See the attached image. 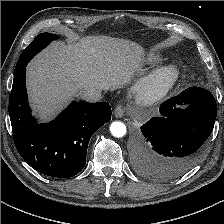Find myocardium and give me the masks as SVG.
Wrapping results in <instances>:
<instances>
[{
  "instance_id": "obj_1",
  "label": "myocardium",
  "mask_w": 224,
  "mask_h": 224,
  "mask_svg": "<svg viewBox=\"0 0 224 224\" xmlns=\"http://www.w3.org/2000/svg\"><path fill=\"white\" fill-rule=\"evenodd\" d=\"M180 77L176 66L166 65L156 68L144 77L134 89V96L142 105H152L162 101L174 88Z\"/></svg>"
}]
</instances>
